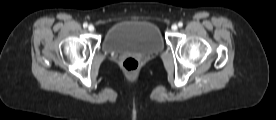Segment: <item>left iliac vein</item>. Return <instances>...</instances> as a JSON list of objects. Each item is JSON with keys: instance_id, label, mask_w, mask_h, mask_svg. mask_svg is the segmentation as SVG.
Listing matches in <instances>:
<instances>
[{"instance_id": "1", "label": "left iliac vein", "mask_w": 276, "mask_h": 120, "mask_svg": "<svg viewBox=\"0 0 276 120\" xmlns=\"http://www.w3.org/2000/svg\"><path fill=\"white\" fill-rule=\"evenodd\" d=\"M171 29H172L173 31H176V30L178 29V26H177L176 24H173V25L171 26Z\"/></svg>"}]
</instances>
